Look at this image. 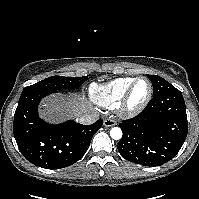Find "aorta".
Here are the masks:
<instances>
[{
  "mask_svg": "<svg viewBox=\"0 0 199 199\" xmlns=\"http://www.w3.org/2000/svg\"><path fill=\"white\" fill-rule=\"evenodd\" d=\"M110 136L114 140H120L122 138V130L119 127H113L110 130Z\"/></svg>",
  "mask_w": 199,
  "mask_h": 199,
  "instance_id": "aorta-1",
  "label": "aorta"
}]
</instances>
